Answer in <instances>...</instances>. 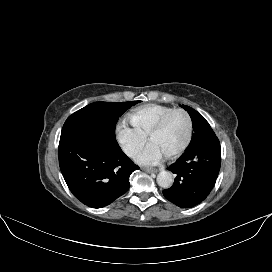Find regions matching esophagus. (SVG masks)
<instances>
[{"mask_svg":"<svg viewBox=\"0 0 272 272\" xmlns=\"http://www.w3.org/2000/svg\"><path fill=\"white\" fill-rule=\"evenodd\" d=\"M143 170L147 173H157L160 171V169H155V168H143Z\"/></svg>","mask_w":272,"mask_h":272,"instance_id":"34e87169","label":"esophagus"}]
</instances>
